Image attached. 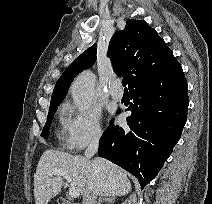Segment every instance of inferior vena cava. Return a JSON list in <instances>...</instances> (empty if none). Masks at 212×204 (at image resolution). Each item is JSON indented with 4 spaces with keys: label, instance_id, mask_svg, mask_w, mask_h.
Returning <instances> with one entry per match:
<instances>
[{
    "label": "inferior vena cava",
    "instance_id": "inferior-vena-cava-1",
    "mask_svg": "<svg viewBox=\"0 0 212 204\" xmlns=\"http://www.w3.org/2000/svg\"><path fill=\"white\" fill-rule=\"evenodd\" d=\"M100 136L101 134L97 133L92 137L84 153L86 159L89 160L98 151ZM96 199L97 194L94 191H90L83 196V204H96Z\"/></svg>",
    "mask_w": 212,
    "mask_h": 204
}]
</instances>
